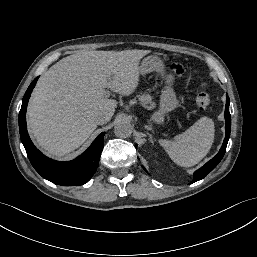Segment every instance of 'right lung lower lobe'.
<instances>
[{
    "label": "right lung lower lobe",
    "instance_id": "right-lung-lower-lobe-1",
    "mask_svg": "<svg viewBox=\"0 0 257 257\" xmlns=\"http://www.w3.org/2000/svg\"><path fill=\"white\" fill-rule=\"evenodd\" d=\"M39 77L34 79L28 87L19 113V131L21 141L28 158L35 170L50 182L63 186H80L88 182L95 173L104 146V132L99 134L90 147L78 158L58 162L44 156L33 145L26 128V109L29 97Z\"/></svg>",
    "mask_w": 257,
    "mask_h": 257
}]
</instances>
